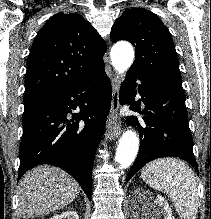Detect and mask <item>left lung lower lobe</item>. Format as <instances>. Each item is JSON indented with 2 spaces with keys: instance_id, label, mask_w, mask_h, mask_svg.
Masks as SVG:
<instances>
[{
  "instance_id": "obj_1",
  "label": "left lung lower lobe",
  "mask_w": 211,
  "mask_h": 219,
  "mask_svg": "<svg viewBox=\"0 0 211 219\" xmlns=\"http://www.w3.org/2000/svg\"><path fill=\"white\" fill-rule=\"evenodd\" d=\"M137 93L141 95V100L135 101ZM141 101L145 105L142 111ZM120 103L130 104L131 110L143 114L140 119L134 116L126 119L129 125L138 127L140 137L139 153L128 180L145 164L161 157L184 159L198 173L180 78L144 75L129 70L121 85Z\"/></svg>"
}]
</instances>
